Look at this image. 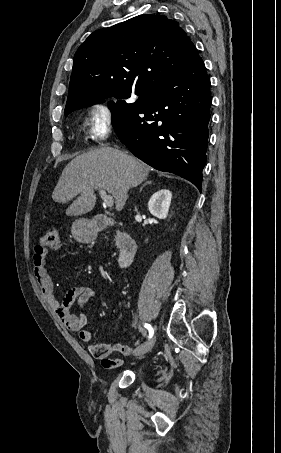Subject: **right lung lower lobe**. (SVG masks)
<instances>
[{"label":"right lung lower lobe","mask_w":281,"mask_h":453,"mask_svg":"<svg viewBox=\"0 0 281 453\" xmlns=\"http://www.w3.org/2000/svg\"><path fill=\"white\" fill-rule=\"evenodd\" d=\"M210 79L200 56L135 103H108L122 143L160 171L179 175L202 189L210 120Z\"/></svg>","instance_id":"98d812e1"}]
</instances>
